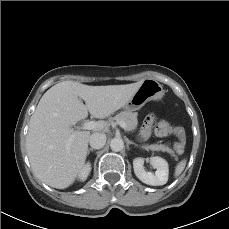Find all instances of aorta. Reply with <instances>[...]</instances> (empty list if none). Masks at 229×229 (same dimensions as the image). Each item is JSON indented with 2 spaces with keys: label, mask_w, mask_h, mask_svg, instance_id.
<instances>
[{
  "label": "aorta",
  "mask_w": 229,
  "mask_h": 229,
  "mask_svg": "<svg viewBox=\"0 0 229 229\" xmlns=\"http://www.w3.org/2000/svg\"><path fill=\"white\" fill-rule=\"evenodd\" d=\"M112 151L119 152L124 148V142L121 138H113L110 142Z\"/></svg>",
  "instance_id": "762f6f07"
}]
</instances>
